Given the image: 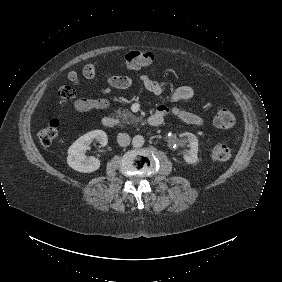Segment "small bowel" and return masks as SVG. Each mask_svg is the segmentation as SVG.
I'll return each mask as SVG.
<instances>
[{
	"label": "small bowel",
	"mask_w": 282,
	"mask_h": 282,
	"mask_svg": "<svg viewBox=\"0 0 282 282\" xmlns=\"http://www.w3.org/2000/svg\"><path fill=\"white\" fill-rule=\"evenodd\" d=\"M82 75L89 80H93L101 76L108 84V88L101 90V94H107L110 88L116 89H127L134 84L145 88L147 91L155 96H161L164 92V83L159 80L150 78L147 75L139 76L135 81L129 77L116 75L113 73L99 74L95 64L87 63L82 68ZM67 79L75 86L80 85V75L77 71L71 70L67 74ZM195 94V91L190 86H180L170 96L171 108L168 109L166 106H159L154 115H159L163 119L170 112L178 120L193 126H204L205 120L202 116L184 110L177 106V103L191 99ZM110 105V101L105 97L95 98H79L74 103V109L78 112H88L91 110H104Z\"/></svg>",
	"instance_id": "obj_1"
}]
</instances>
